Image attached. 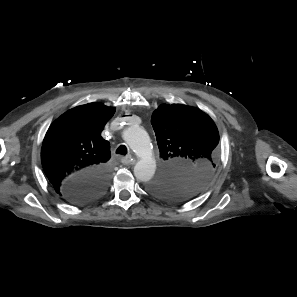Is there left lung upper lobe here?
I'll return each instance as SVG.
<instances>
[{
    "label": "left lung upper lobe",
    "mask_w": 297,
    "mask_h": 297,
    "mask_svg": "<svg viewBox=\"0 0 297 297\" xmlns=\"http://www.w3.org/2000/svg\"><path fill=\"white\" fill-rule=\"evenodd\" d=\"M151 123L163 169L149 190L173 202L191 199L208 184L218 160L214 122L199 109L163 104L154 111Z\"/></svg>",
    "instance_id": "left-lung-upper-lobe-1"
}]
</instances>
